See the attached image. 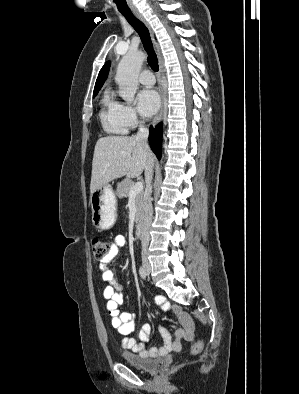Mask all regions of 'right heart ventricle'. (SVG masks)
<instances>
[{
	"label": "right heart ventricle",
	"mask_w": 299,
	"mask_h": 394,
	"mask_svg": "<svg viewBox=\"0 0 299 394\" xmlns=\"http://www.w3.org/2000/svg\"><path fill=\"white\" fill-rule=\"evenodd\" d=\"M121 106L109 91L104 93L101 101L100 119L105 131L110 134L118 135L127 132L121 114Z\"/></svg>",
	"instance_id": "e07e8e85"
}]
</instances>
